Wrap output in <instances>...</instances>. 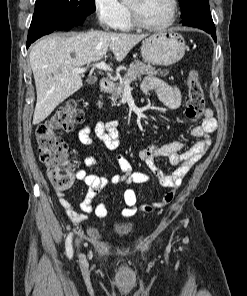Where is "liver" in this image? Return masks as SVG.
<instances>
[{"label":"liver","mask_w":247,"mask_h":296,"mask_svg":"<svg viewBox=\"0 0 247 296\" xmlns=\"http://www.w3.org/2000/svg\"><path fill=\"white\" fill-rule=\"evenodd\" d=\"M145 37L92 30L69 37L54 35L37 42L29 54L37 92L33 124L44 121L83 86L81 75L73 73V69L106 57L108 49L120 62Z\"/></svg>","instance_id":"1"}]
</instances>
